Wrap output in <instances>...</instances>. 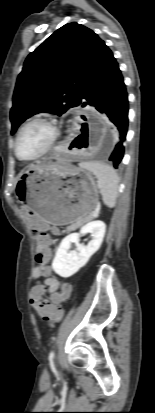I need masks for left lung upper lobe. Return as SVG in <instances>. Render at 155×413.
<instances>
[{"mask_svg":"<svg viewBox=\"0 0 155 413\" xmlns=\"http://www.w3.org/2000/svg\"><path fill=\"white\" fill-rule=\"evenodd\" d=\"M108 47L91 29L68 23L28 55L10 111L11 134L39 112L64 114L81 104L88 80Z\"/></svg>","mask_w":155,"mask_h":413,"instance_id":"1","label":"left lung upper lobe"}]
</instances>
